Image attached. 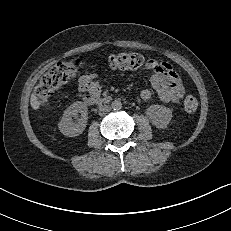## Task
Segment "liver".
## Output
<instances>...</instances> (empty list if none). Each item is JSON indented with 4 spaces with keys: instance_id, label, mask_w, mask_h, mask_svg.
Instances as JSON below:
<instances>
[{
    "instance_id": "6515ba94",
    "label": "liver",
    "mask_w": 231,
    "mask_h": 231,
    "mask_svg": "<svg viewBox=\"0 0 231 231\" xmlns=\"http://www.w3.org/2000/svg\"><path fill=\"white\" fill-rule=\"evenodd\" d=\"M30 104H31V107H32L34 110L39 109V107H40V105H41V101L37 98V96H36L35 93H33V94L31 95Z\"/></svg>"
}]
</instances>
